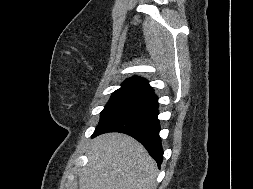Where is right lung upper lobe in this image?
Instances as JSON below:
<instances>
[{
	"mask_svg": "<svg viewBox=\"0 0 253 189\" xmlns=\"http://www.w3.org/2000/svg\"><path fill=\"white\" fill-rule=\"evenodd\" d=\"M120 89H131L146 92L147 94L153 93L152 87L148 84L147 80L140 77H132L122 83Z\"/></svg>",
	"mask_w": 253,
	"mask_h": 189,
	"instance_id": "right-lung-upper-lobe-1",
	"label": "right lung upper lobe"
}]
</instances>
